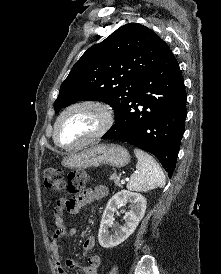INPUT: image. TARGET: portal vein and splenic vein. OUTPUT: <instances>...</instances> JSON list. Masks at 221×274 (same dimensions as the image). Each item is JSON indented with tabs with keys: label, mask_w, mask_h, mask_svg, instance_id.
Instances as JSON below:
<instances>
[{
	"label": "portal vein and splenic vein",
	"mask_w": 221,
	"mask_h": 274,
	"mask_svg": "<svg viewBox=\"0 0 221 274\" xmlns=\"http://www.w3.org/2000/svg\"><path fill=\"white\" fill-rule=\"evenodd\" d=\"M121 183L124 184V183H125V180H121Z\"/></svg>",
	"instance_id": "obj_1"
}]
</instances>
